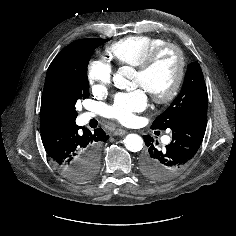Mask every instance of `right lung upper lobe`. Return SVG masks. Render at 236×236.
I'll use <instances>...</instances> for the list:
<instances>
[{"instance_id":"obj_1","label":"right lung upper lobe","mask_w":236,"mask_h":236,"mask_svg":"<svg viewBox=\"0 0 236 236\" xmlns=\"http://www.w3.org/2000/svg\"><path fill=\"white\" fill-rule=\"evenodd\" d=\"M58 55L52 61L51 64L58 60ZM54 121H67L58 107L52 102L46 91L43 90L41 99V110H40V125Z\"/></svg>"}]
</instances>
